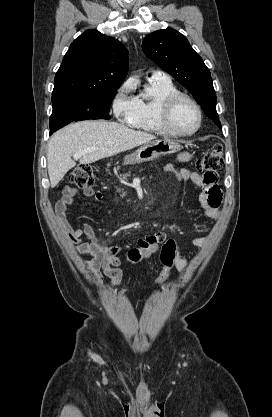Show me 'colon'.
<instances>
[{"mask_svg": "<svg viewBox=\"0 0 272 417\" xmlns=\"http://www.w3.org/2000/svg\"><path fill=\"white\" fill-rule=\"evenodd\" d=\"M224 162L223 148L215 144L195 164L198 171L205 174L216 173ZM69 182L77 187L88 188L94 183V169L91 165L81 164L75 167L68 178ZM177 244L175 240L166 238L164 240L143 241L127 252V260L131 265H137L156 254L162 264L161 272L155 281V287H161L170 277L175 263Z\"/></svg>", "mask_w": 272, "mask_h": 417, "instance_id": "5ec220e1", "label": "colon"}]
</instances>
